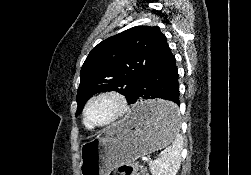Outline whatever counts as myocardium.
Instances as JSON below:
<instances>
[{
  "instance_id": "obj_1",
  "label": "myocardium",
  "mask_w": 251,
  "mask_h": 175,
  "mask_svg": "<svg viewBox=\"0 0 251 175\" xmlns=\"http://www.w3.org/2000/svg\"><path fill=\"white\" fill-rule=\"evenodd\" d=\"M103 96L115 97L121 104V113L114 121H112L111 123H109L107 125H103V126L92 125L89 123V120H88L89 107L94 100L101 98ZM130 111H131L130 101H129L127 95L123 91H121L119 89H114V88L113 89H105V90H102V91L94 94L92 97H90L88 99V101L86 102L84 109H83V122H84V125L86 126V128H88L90 130H95V131L105 130V129H109V128L121 123L123 120H125L127 118V116L130 114Z\"/></svg>"
}]
</instances>
